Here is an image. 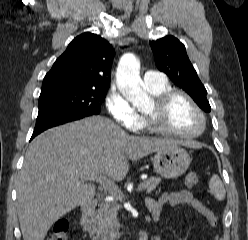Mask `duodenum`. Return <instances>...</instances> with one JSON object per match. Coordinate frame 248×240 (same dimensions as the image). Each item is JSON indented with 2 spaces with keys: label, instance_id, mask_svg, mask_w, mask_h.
Masks as SVG:
<instances>
[{
  "label": "duodenum",
  "instance_id": "410a0bca",
  "mask_svg": "<svg viewBox=\"0 0 248 240\" xmlns=\"http://www.w3.org/2000/svg\"><path fill=\"white\" fill-rule=\"evenodd\" d=\"M97 206V201L95 200H87L84 203H82L80 207V218H86L89 216L90 213L94 211V209ZM148 236L145 231H141L138 233V235L134 238V240H147Z\"/></svg>",
  "mask_w": 248,
  "mask_h": 240
}]
</instances>
